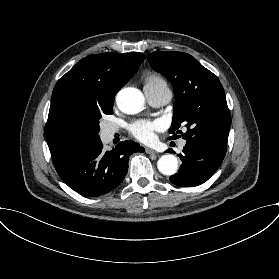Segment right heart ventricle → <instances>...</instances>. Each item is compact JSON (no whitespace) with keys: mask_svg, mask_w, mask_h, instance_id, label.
<instances>
[{"mask_svg":"<svg viewBox=\"0 0 279 279\" xmlns=\"http://www.w3.org/2000/svg\"><path fill=\"white\" fill-rule=\"evenodd\" d=\"M165 81L160 75L156 73H150L145 80V85H153Z\"/></svg>","mask_w":279,"mask_h":279,"instance_id":"e07e8e85","label":"right heart ventricle"}]
</instances>
